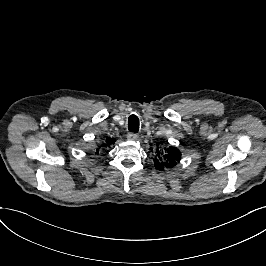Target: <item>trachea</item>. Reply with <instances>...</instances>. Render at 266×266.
I'll return each instance as SVG.
<instances>
[{
	"label": "trachea",
	"instance_id": "trachea-1",
	"mask_svg": "<svg viewBox=\"0 0 266 266\" xmlns=\"http://www.w3.org/2000/svg\"><path fill=\"white\" fill-rule=\"evenodd\" d=\"M128 129L131 132H138L139 130V119L136 115H131L128 118Z\"/></svg>",
	"mask_w": 266,
	"mask_h": 266
}]
</instances>
